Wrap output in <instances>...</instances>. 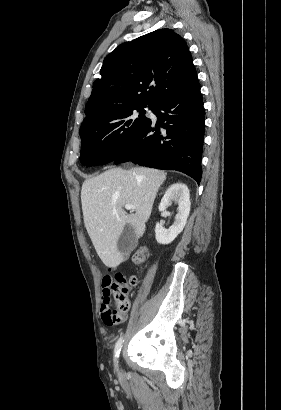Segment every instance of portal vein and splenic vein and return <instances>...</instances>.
Masks as SVG:
<instances>
[{
    "mask_svg": "<svg viewBox=\"0 0 281 410\" xmlns=\"http://www.w3.org/2000/svg\"><path fill=\"white\" fill-rule=\"evenodd\" d=\"M125 209H126V210H135L136 207L133 206V205H131V204H126V205H125Z\"/></svg>",
    "mask_w": 281,
    "mask_h": 410,
    "instance_id": "18ae733b",
    "label": "portal vein and splenic vein"
}]
</instances>
